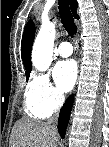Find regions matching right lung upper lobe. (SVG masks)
<instances>
[{"label":"right lung upper lobe","instance_id":"1","mask_svg":"<svg viewBox=\"0 0 109 147\" xmlns=\"http://www.w3.org/2000/svg\"><path fill=\"white\" fill-rule=\"evenodd\" d=\"M70 7L74 17L78 18V15L76 13L77 10L76 0H70ZM34 33H35L34 23L32 21H29L25 27L22 37V43H21V56H22L23 64L26 69V74L28 73L30 74L32 69L31 49L34 40Z\"/></svg>","mask_w":109,"mask_h":147}]
</instances>
